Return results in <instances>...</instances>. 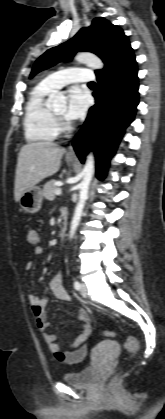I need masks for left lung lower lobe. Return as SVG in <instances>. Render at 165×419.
Listing matches in <instances>:
<instances>
[{
	"label": "left lung lower lobe",
	"instance_id": "left-lung-lower-lobe-1",
	"mask_svg": "<svg viewBox=\"0 0 165 419\" xmlns=\"http://www.w3.org/2000/svg\"><path fill=\"white\" fill-rule=\"evenodd\" d=\"M137 63L133 49L105 72L96 74L98 87L93 93L96 104L73 140L77 156L83 163L94 147L96 175L105 177L108 163L115 153L125 128L133 121L139 103Z\"/></svg>",
	"mask_w": 165,
	"mask_h": 419
}]
</instances>
